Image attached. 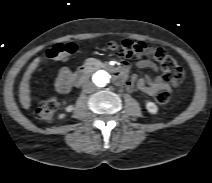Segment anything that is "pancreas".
I'll list each match as a JSON object with an SVG mask.
<instances>
[{
    "label": "pancreas",
    "instance_id": "1",
    "mask_svg": "<svg viewBox=\"0 0 212 183\" xmlns=\"http://www.w3.org/2000/svg\"><path fill=\"white\" fill-rule=\"evenodd\" d=\"M95 62H96V59H94V58H91V59H87V60H86V63H87V64L95 63Z\"/></svg>",
    "mask_w": 212,
    "mask_h": 183
}]
</instances>
